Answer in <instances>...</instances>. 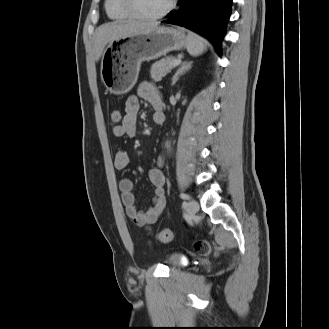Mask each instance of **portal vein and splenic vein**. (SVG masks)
I'll return each mask as SVG.
<instances>
[{
    "mask_svg": "<svg viewBox=\"0 0 329 329\" xmlns=\"http://www.w3.org/2000/svg\"><path fill=\"white\" fill-rule=\"evenodd\" d=\"M181 63V58H177L174 62H173V67L177 66L178 64Z\"/></svg>",
    "mask_w": 329,
    "mask_h": 329,
    "instance_id": "1",
    "label": "portal vein and splenic vein"
}]
</instances>
